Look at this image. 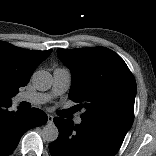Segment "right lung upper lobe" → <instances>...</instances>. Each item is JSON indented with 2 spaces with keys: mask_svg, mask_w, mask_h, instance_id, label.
Instances as JSON below:
<instances>
[{
  "mask_svg": "<svg viewBox=\"0 0 156 156\" xmlns=\"http://www.w3.org/2000/svg\"><path fill=\"white\" fill-rule=\"evenodd\" d=\"M51 52L26 50L0 41V106L12 104L11 98L28 84L36 67Z\"/></svg>",
  "mask_w": 156,
  "mask_h": 156,
  "instance_id": "1",
  "label": "right lung upper lobe"
}]
</instances>
